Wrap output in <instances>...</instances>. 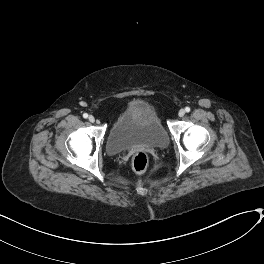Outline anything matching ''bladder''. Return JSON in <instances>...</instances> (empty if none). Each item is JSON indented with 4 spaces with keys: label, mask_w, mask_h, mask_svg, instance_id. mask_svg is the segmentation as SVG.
Returning <instances> with one entry per match:
<instances>
[{
    "label": "bladder",
    "mask_w": 264,
    "mask_h": 264,
    "mask_svg": "<svg viewBox=\"0 0 264 264\" xmlns=\"http://www.w3.org/2000/svg\"><path fill=\"white\" fill-rule=\"evenodd\" d=\"M168 134L158 115L145 102L127 107L115 120L107 140L106 150L117 155L133 147L166 148Z\"/></svg>",
    "instance_id": "31cf9c89"
}]
</instances>
